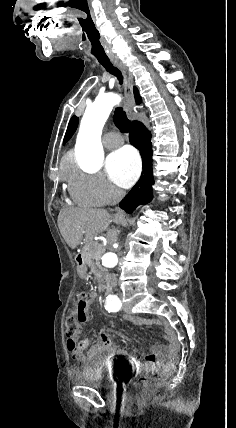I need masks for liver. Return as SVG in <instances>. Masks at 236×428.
I'll list each match as a JSON object with an SVG mask.
<instances>
[{
  "instance_id": "liver-1",
  "label": "liver",
  "mask_w": 236,
  "mask_h": 428,
  "mask_svg": "<svg viewBox=\"0 0 236 428\" xmlns=\"http://www.w3.org/2000/svg\"><path fill=\"white\" fill-rule=\"evenodd\" d=\"M112 216L106 210H62L58 216V228L69 248H77L82 240L93 244V238L107 230ZM111 244L117 242L114 230L109 232Z\"/></svg>"
}]
</instances>
